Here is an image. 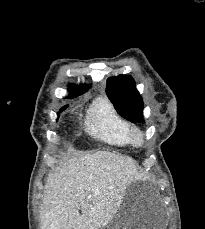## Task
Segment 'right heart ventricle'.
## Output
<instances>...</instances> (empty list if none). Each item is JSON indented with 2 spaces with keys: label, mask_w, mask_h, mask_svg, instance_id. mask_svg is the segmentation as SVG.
<instances>
[{
  "label": "right heart ventricle",
  "mask_w": 205,
  "mask_h": 229,
  "mask_svg": "<svg viewBox=\"0 0 205 229\" xmlns=\"http://www.w3.org/2000/svg\"><path fill=\"white\" fill-rule=\"evenodd\" d=\"M88 130L104 142L117 146L130 145V131L132 126L115 109L106 98L96 99L89 111Z\"/></svg>",
  "instance_id": "1"
}]
</instances>
